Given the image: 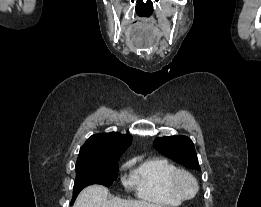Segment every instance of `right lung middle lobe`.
Here are the masks:
<instances>
[{
    "mask_svg": "<svg viewBox=\"0 0 261 207\" xmlns=\"http://www.w3.org/2000/svg\"><path fill=\"white\" fill-rule=\"evenodd\" d=\"M120 157L112 159L107 163H87L76 165V180L73 188L74 203L80 191L92 184H100L106 187L110 186L117 178L118 163Z\"/></svg>",
    "mask_w": 261,
    "mask_h": 207,
    "instance_id": "1",
    "label": "right lung middle lobe"
}]
</instances>
